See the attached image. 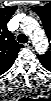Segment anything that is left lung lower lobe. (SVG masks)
Listing matches in <instances>:
<instances>
[{"label": "left lung lower lobe", "mask_w": 51, "mask_h": 101, "mask_svg": "<svg viewBox=\"0 0 51 101\" xmlns=\"http://www.w3.org/2000/svg\"><path fill=\"white\" fill-rule=\"evenodd\" d=\"M39 61L43 64V66L46 68V69H50V67H51V64H49V65H46V64H44V62L42 61V59H40L39 58Z\"/></svg>", "instance_id": "1"}]
</instances>
